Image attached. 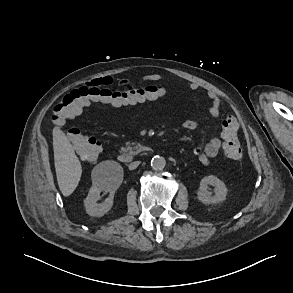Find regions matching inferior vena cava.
I'll list each match as a JSON object with an SVG mask.
<instances>
[{
	"instance_id": "602c4592",
	"label": "inferior vena cava",
	"mask_w": 293,
	"mask_h": 293,
	"mask_svg": "<svg viewBox=\"0 0 293 293\" xmlns=\"http://www.w3.org/2000/svg\"><path fill=\"white\" fill-rule=\"evenodd\" d=\"M140 164L139 161H135V162H132L130 165H129V170H134L138 167V165Z\"/></svg>"
}]
</instances>
